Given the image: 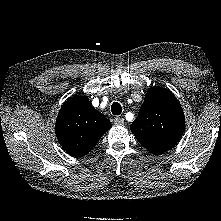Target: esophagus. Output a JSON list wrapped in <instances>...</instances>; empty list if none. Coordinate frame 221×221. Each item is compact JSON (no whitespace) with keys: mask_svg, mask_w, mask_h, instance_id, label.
<instances>
[{"mask_svg":"<svg viewBox=\"0 0 221 221\" xmlns=\"http://www.w3.org/2000/svg\"><path fill=\"white\" fill-rule=\"evenodd\" d=\"M114 123H115L116 125H123V124H124V118L117 116V117H115V119H114Z\"/></svg>","mask_w":221,"mask_h":221,"instance_id":"34e87169","label":"esophagus"}]
</instances>
